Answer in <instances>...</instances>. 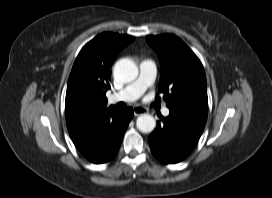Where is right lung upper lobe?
<instances>
[{"label": "right lung upper lobe", "instance_id": "cb5924a9", "mask_svg": "<svg viewBox=\"0 0 272 198\" xmlns=\"http://www.w3.org/2000/svg\"><path fill=\"white\" fill-rule=\"evenodd\" d=\"M134 37L104 32L88 42L78 54L66 92V123L70 134L107 110L111 65Z\"/></svg>", "mask_w": 272, "mask_h": 198}]
</instances>
